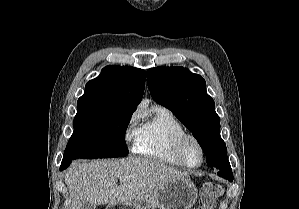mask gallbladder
Masks as SVG:
<instances>
[{"label": "gallbladder", "mask_w": 299, "mask_h": 209, "mask_svg": "<svg viewBox=\"0 0 299 209\" xmlns=\"http://www.w3.org/2000/svg\"><path fill=\"white\" fill-rule=\"evenodd\" d=\"M81 209H96V208L94 205L86 202L82 205Z\"/></svg>", "instance_id": "bac80fb5"}]
</instances>
